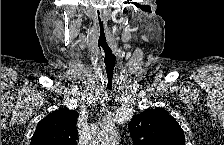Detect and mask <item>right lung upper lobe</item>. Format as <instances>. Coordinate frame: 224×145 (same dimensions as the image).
<instances>
[{"instance_id":"obj_1","label":"right lung upper lobe","mask_w":224,"mask_h":145,"mask_svg":"<svg viewBox=\"0 0 224 145\" xmlns=\"http://www.w3.org/2000/svg\"><path fill=\"white\" fill-rule=\"evenodd\" d=\"M77 116L68 108L51 112L37 124L31 145H75Z\"/></svg>"}]
</instances>
